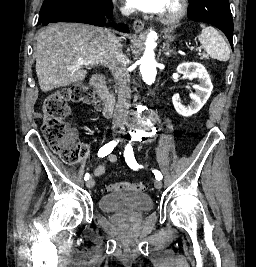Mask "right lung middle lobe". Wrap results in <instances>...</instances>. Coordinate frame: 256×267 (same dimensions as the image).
I'll return each mask as SVG.
<instances>
[{"mask_svg": "<svg viewBox=\"0 0 256 267\" xmlns=\"http://www.w3.org/2000/svg\"><path fill=\"white\" fill-rule=\"evenodd\" d=\"M110 0H44L39 16L55 9H63L71 13H79L86 7L94 4L109 2Z\"/></svg>", "mask_w": 256, "mask_h": 267, "instance_id": "dd1d6c3e", "label": "right lung middle lobe"}]
</instances>
